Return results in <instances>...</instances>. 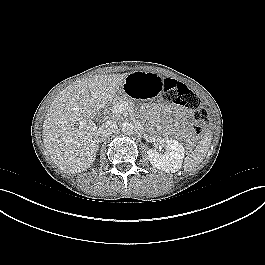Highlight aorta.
Instances as JSON below:
<instances>
[{"mask_svg": "<svg viewBox=\"0 0 265 265\" xmlns=\"http://www.w3.org/2000/svg\"><path fill=\"white\" fill-rule=\"evenodd\" d=\"M122 132L125 135H132L134 132V126L131 123L125 122L122 124Z\"/></svg>", "mask_w": 265, "mask_h": 265, "instance_id": "762f6f07", "label": "aorta"}]
</instances>
